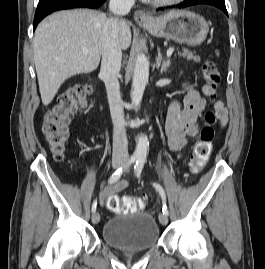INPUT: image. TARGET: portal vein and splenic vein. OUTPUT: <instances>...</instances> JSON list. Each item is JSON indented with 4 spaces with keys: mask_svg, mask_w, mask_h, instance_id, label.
I'll return each instance as SVG.
<instances>
[{
    "mask_svg": "<svg viewBox=\"0 0 265 269\" xmlns=\"http://www.w3.org/2000/svg\"><path fill=\"white\" fill-rule=\"evenodd\" d=\"M84 52L87 53L88 51L87 50H84ZM173 52H174V48H169L167 50V56H171Z\"/></svg>",
    "mask_w": 265,
    "mask_h": 269,
    "instance_id": "portal-vein-and-splenic-vein-1",
    "label": "portal vein and splenic vein"
}]
</instances>
